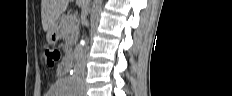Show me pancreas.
Masks as SVG:
<instances>
[{
    "label": "pancreas",
    "mask_w": 232,
    "mask_h": 96,
    "mask_svg": "<svg viewBox=\"0 0 232 96\" xmlns=\"http://www.w3.org/2000/svg\"><path fill=\"white\" fill-rule=\"evenodd\" d=\"M60 28V35L62 38L66 39V47L67 49H70V47L76 43L78 39V21L71 14L63 15L60 21Z\"/></svg>",
    "instance_id": "obj_1"
}]
</instances>
